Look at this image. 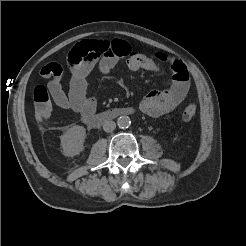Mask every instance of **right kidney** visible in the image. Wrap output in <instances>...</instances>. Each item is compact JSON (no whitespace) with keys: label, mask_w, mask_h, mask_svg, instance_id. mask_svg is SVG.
<instances>
[{"label":"right kidney","mask_w":246,"mask_h":246,"mask_svg":"<svg viewBox=\"0 0 246 246\" xmlns=\"http://www.w3.org/2000/svg\"><path fill=\"white\" fill-rule=\"evenodd\" d=\"M86 137V130L82 126H73L68 129L61 139V146L63 154L68 157H73L84 149V140Z\"/></svg>","instance_id":"1"}]
</instances>
